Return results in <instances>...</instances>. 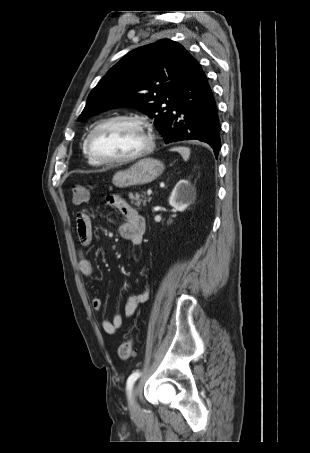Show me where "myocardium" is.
<instances>
[{
	"mask_svg": "<svg viewBox=\"0 0 310 453\" xmlns=\"http://www.w3.org/2000/svg\"><path fill=\"white\" fill-rule=\"evenodd\" d=\"M118 121L130 122V123H133L136 126H138L143 131L144 136L146 138L145 146L142 149H140L139 151H137L136 153L126 156V157H122V158H107V157H103V156L96 154L92 147V139H93L94 134L100 128H102L110 123L118 122ZM85 147H86V151L89 154V156L93 160H95L101 164H109V165L126 164V163L136 161V160L148 155L154 148V136L152 133L151 126L143 118L138 117V116H133V115H116V116H112V117L99 121L91 129V131L88 133V135L86 137Z\"/></svg>",
	"mask_w": 310,
	"mask_h": 453,
	"instance_id": "f54148a6",
	"label": "myocardium"
}]
</instances>
